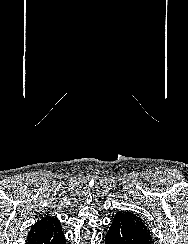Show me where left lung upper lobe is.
<instances>
[{
	"instance_id": "left-lung-upper-lobe-1",
	"label": "left lung upper lobe",
	"mask_w": 188,
	"mask_h": 244,
	"mask_svg": "<svg viewBox=\"0 0 188 244\" xmlns=\"http://www.w3.org/2000/svg\"><path fill=\"white\" fill-rule=\"evenodd\" d=\"M125 214L137 227L138 229L150 240H152V234L148 225L137 215L132 212H121Z\"/></svg>"
}]
</instances>
